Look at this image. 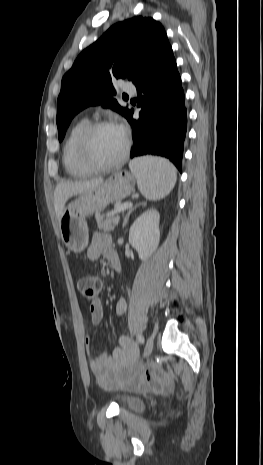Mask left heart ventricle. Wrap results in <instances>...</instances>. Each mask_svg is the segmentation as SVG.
I'll use <instances>...</instances> for the list:
<instances>
[{"instance_id":"obj_1","label":"left heart ventricle","mask_w":263,"mask_h":465,"mask_svg":"<svg viewBox=\"0 0 263 465\" xmlns=\"http://www.w3.org/2000/svg\"><path fill=\"white\" fill-rule=\"evenodd\" d=\"M124 147V135L117 127L97 130L90 140V153L99 163H109L116 159Z\"/></svg>"}]
</instances>
